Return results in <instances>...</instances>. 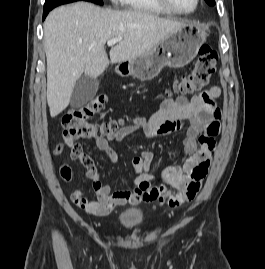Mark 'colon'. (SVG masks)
Returning <instances> with one entry per match:
<instances>
[{
  "label": "colon",
  "mask_w": 265,
  "mask_h": 269,
  "mask_svg": "<svg viewBox=\"0 0 265 269\" xmlns=\"http://www.w3.org/2000/svg\"><path fill=\"white\" fill-rule=\"evenodd\" d=\"M218 60L217 52L208 44L200 47L198 57L194 68L189 74L182 75L176 81V90L181 94H192L206 88L216 70ZM106 104L105 96H97L87 104L68 111L62 118V142L57 147L60 151L64 147L70 148L72 142L76 139H86L100 137L102 135H113L118 133L125 125L122 119H112L108 122L97 124L91 121V118L99 113ZM219 127L213 122L210 125L208 133L216 135ZM61 176L69 180L71 171L68 167L61 169ZM152 200H159L161 203L178 205L182 202L180 193H166L160 188L150 187L146 190ZM198 192L196 186L190 187L187 198L191 200Z\"/></svg>",
  "instance_id": "obj_1"
}]
</instances>
